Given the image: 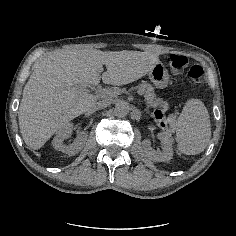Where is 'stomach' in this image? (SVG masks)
Segmentation results:
<instances>
[{"label":"stomach","instance_id":"1","mask_svg":"<svg viewBox=\"0 0 236 236\" xmlns=\"http://www.w3.org/2000/svg\"><path fill=\"white\" fill-rule=\"evenodd\" d=\"M150 80L158 88H164L169 81V74L163 64L158 63L150 72Z\"/></svg>","mask_w":236,"mask_h":236}]
</instances>
